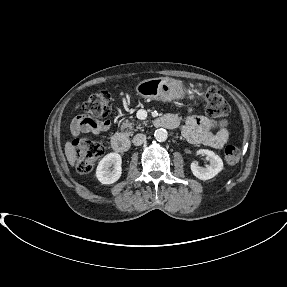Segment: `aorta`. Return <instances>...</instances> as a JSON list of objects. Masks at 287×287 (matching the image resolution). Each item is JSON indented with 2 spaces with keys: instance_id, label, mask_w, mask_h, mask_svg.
I'll return each instance as SVG.
<instances>
[{
  "instance_id": "aorta-1",
  "label": "aorta",
  "mask_w": 287,
  "mask_h": 287,
  "mask_svg": "<svg viewBox=\"0 0 287 287\" xmlns=\"http://www.w3.org/2000/svg\"><path fill=\"white\" fill-rule=\"evenodd\" d=\"M154 137L159 142L166 141L168 138V132L163 128L157 129L155 130Z\"/></svg>"
}]
</instances>
